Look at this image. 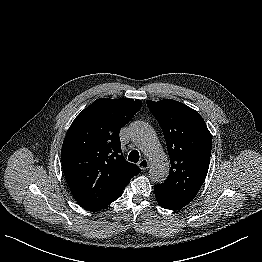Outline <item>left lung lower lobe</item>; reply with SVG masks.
Wrapping results in <instances>:
<instances>
[{
    "label": "left lung lower lobe",
    "mask_w": 262,
    "mask_h": 262,
    "mask_svg": "<svg viewBox=\"0 0 262 262\" xmlns=\"http://www.w3.org/2000/svg\"><path fill=\"white\" fill-rule=\"evenodd\" d=\"M154 191L159 205L165 209L177 210L192 201V199L171 193L158 185L154 186Z\"/></svg>",
    "instance_id": "1"
}]
</instances>
